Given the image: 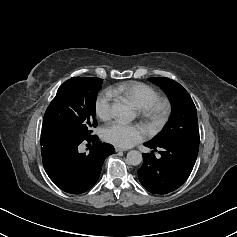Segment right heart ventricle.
I'll return each mask as SVG.
<instances>
[{
    "instance_id": "e07e8e85",
    "label": "right heart ventricle",
    "mask_w": 237,
    "mask_h": 237,
    "mask_svg": "<svg viewBox=\"0 0 237 237\" xmlns=\"http://www.w3.org/2000/svg\"><path fill=\"white\" fill-rule=\"evenodd\" d=\"M111 91L114 94H119L130 99L139 109H143L158 98V94L154 88L138 81L119 83Z\"/></svg>"
}]
</instances>
